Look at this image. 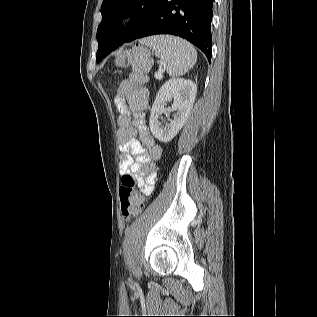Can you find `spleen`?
<instances>
[{"label": "spleen", "mask_w": 317, "mask_h": 317, "mask_svg": "<svg viewBox=\"0 0 317 317\" xmlns=\"http://www.w3.org/2000/svg\"><path fill=\"white\" fill-rule=\"evenodd\" d=\"M141 43L152 49L155 56L161 59V65L172 77L184 75L197 61L194 47L179 37L154 36L141 40Z\"/></svg>", "instance_id": "spleen-1"}]
</instances>
